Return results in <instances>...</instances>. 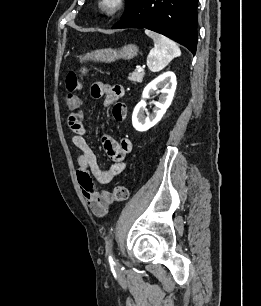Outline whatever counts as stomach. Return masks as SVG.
Listing matches in <instances>:
<instances>
[{
	"label": "stomach",
	"mask_w": 261,
	"mask_h": 306,
	"mask_svg": "<svg viewBox=\"0 0 261 306\" xmlns=\"http://www.w3.org/2000/svg\"><path fill=\"white\" fill-rule=\"evenodd\" d=\"M138 54V47L133 44L125 45L121 49H101L80 57V61L93 60L97 62L111 63L117 59H132Z\"/></svg>",
	"instance_id": "0dacf381"
}]
</instances>
